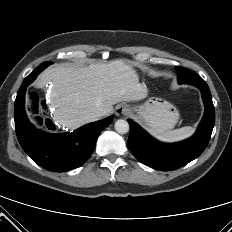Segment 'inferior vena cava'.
<instances>
[{"label": "inferior vena cava", "instance_id": "obj_1", "mask_svg": "<svg viewBox=\"0 0 232 232\" xmlns=\"http://www.w3.org/2000/svg\"><path fill=\"white\" fill-rule=\"evenodd\" d=\"M105 115H106L105 111H95V112L91 113L88 118L90 121H96Z\"/></svg>", "mask_w": 232, "mask_h": 232}]
</instances>
